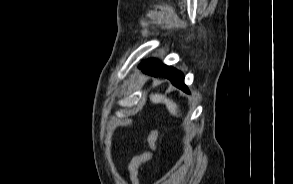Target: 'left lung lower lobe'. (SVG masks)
I'll return each mask as SVG.
<instances>
[{"mask_svg":"<svg viewBox=\"0 0 293 184\" xmlns=\"http://www.w3.org/2000/svg\"><path fill=\"white\" fill-rule=\"evenodd\" d=\"M139 68L144 72L152 76H163L169 79L174 86L189 93L188 88L184 84L183 74L176 69L166 66L155 59H150L142 62Z\"/></svg>","mask_w":293,"mask_h":184,"instance_id":"0a47b994","label":"left lung lower lobe"}]
</instances>
